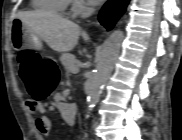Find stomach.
I'll return each mask as SVG.
<instances>
[{"label":"stomach","instance_id":"stomach-1","mask_svg":"<svg viewBox=\"0 0 182 140\" xmlns=\"http://www.w3.org/2000/svg\"><path fill=\"white\" fill-rule=\"evenodd\" d=\"M11 39L12 45L16 49H39L42 45L41 38L34 31H30L19 18L12 22Z\"/></svg>","mask_w":182,"mask_h":140}]
</instances>
